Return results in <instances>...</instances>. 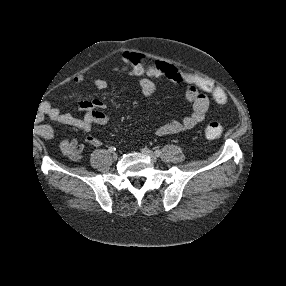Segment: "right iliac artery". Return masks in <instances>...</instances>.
I'll return each instance as SVG.
<instances>
[{"label": "right iliac artery", "instance_id": "right-iliac-artery-1", "mask_svg": "<svg viewBox=\"0 0 286 286\" xmlns=\"http://www.w3.org/2000/svg\"><path fill=\"white\" fill-rule=\"evenodd\" d=\"M108 150H109V152H111V153H112V152H114V151L116 150V148H115V147H113V146H111V147H109V149H108Z\"/></svg>", "mask_w": 286, "mask_h": 286}]
</instances>
